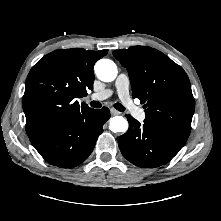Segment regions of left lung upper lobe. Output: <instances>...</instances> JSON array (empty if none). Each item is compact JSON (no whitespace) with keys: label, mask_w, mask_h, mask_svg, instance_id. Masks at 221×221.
Wrapping results in <instances>:
<instances>
[{"label":"left lung upper lobe","mask_w":221,"mask_h":221,"mask_svg":"<svg viewBox=\"0 0 221 221\" xmlns=\"http://www.w3.org/2000/svg\"><path fill=\"white\" fill-rule=\"evenodd\" d=\"M113 55L127 69L132 97L145 103L144 121L188 138L195 109L186 72L160 51L134 46Z\"/></svg>","instance_id":"5c2ea615"}]
</instances>
